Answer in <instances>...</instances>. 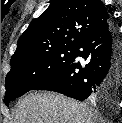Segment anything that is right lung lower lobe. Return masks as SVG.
<instances>
[{
    "label": "right lung lower lobe",
    "instance_id": "98d812e1",
    "mask_svg": "<svg viewBox=\"0 0 122 123\" xmlns=\"http://www.w3.org/2000/svg\"><path fill=\"white\" fill-rule=\"evenodd\" d=\"M77 56L88 59L89 63L82 66L75 62ZM121 89L122 42L110 21L79 45L67 67L33 90L54 91L79 101L100 95L115 101Z\"/></svg>",
    "mask_w": 122,
    "mask_h": 123
}]
</instances>
